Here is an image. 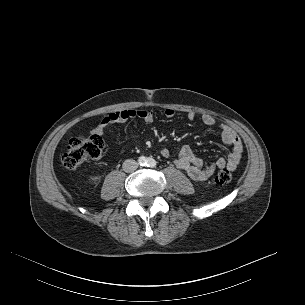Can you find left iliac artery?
<instances>
[{"label": "left iliac artery", "mask_w": 305, "mask_h": 305, "mask_svg": "<svg viewBox=\"0 0 305 305\" xmlns=\"http://www.w3.org/2000/svg\"><path fill=\"white\" fill-rule=\"evenodd\" d=\"M157 162L153 158H148L146 161V166L148 167H156Z\"/></svg>", "instance_id": "44dca946"}]
</instances>
